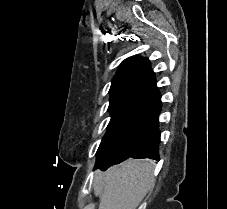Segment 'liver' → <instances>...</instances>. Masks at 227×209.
Here are the masks:
<instances>
[{"mask_svg": "<svg viewBox=\"0 0 227 209\" xmlns=\"http://www.w3.org/2000/svg\"><path fill=\"white\" fill-rule=\"evenodd\" d=\"M154 165L128 159L106 173L95 171L93 189L101 197L99 209H137L154 187Z\"/></svg>", "mask_w": 227, "mask_h": 209, "instance_id": "6515ba94", "label": "liver"}]
</instances>
